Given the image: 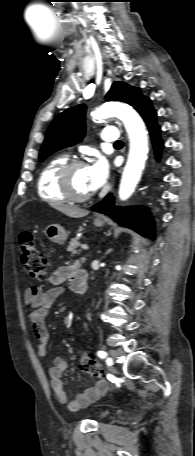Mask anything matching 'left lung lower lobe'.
<instances>
[{"instance_id":"left-lung-lower-lobe-1","label":"left lung lower lobe","mask_w":195,"mask_h":456,"mask_svg":"<svg viewBox=\"0 0 195 456\" xmlns=\"http://www.w3.org/2000/svg\"><path fill=\"white\" fill-rule=\"evenodd\" d=\"M140 115L146 122L153 141L154 148L158 154L163 143L159 137L160 127L156 123V111L151 105V101L147 98L137 109ZM92 209L110 215L120 225L134 229L142 235L153 239V229L148 213L140 207H127L122 209H114L113 198L108 195L103 201L97 203Z\"/></svg>"}]
</instances>
